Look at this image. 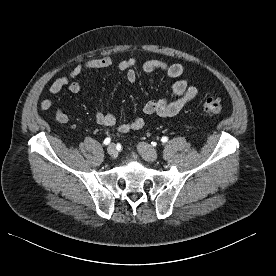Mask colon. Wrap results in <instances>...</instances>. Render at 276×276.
<instances>
[{
    "label": "colon",
    "instance_id": "colon-1",
    "mask_svg": "<svg viewBox=\"0 0 276 276\" xmlns=\"http://www.w3.org/2000/svg\"><path fill=\"white\" fill-rule=\"evenodd\" d=\"M203 109L210 116H218L223 109L221 100L217 97H208L203 104Z\"/></svg>",
    "mask_w": 276,
    "mask_h": 276
}]
</instances>
